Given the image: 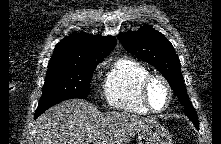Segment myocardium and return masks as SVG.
Listing matches in <instances>:
<instances>
[{
  "label": "myocardium",
  "mask_w": 221,
  "mask_h": 144,
  "mask_svg": "<svg viewBox=\"0 0 221 144\" xmlns=\"http://www.w3.org/2000/svg\"><path fill=\"white\" fill-rule=\"evenodd\" d=\"M154 80L161 81L167 90V95H168L167 102H166V105L161 109L154 108L150 102V99H149V87H150V84L152 83V81H154ZM139 89H140V97H141L142 103L145 105V107L149 111L154 112V113H161L169 108V106L172 102L173 91H172V87H171L170 83L163 75H161L159 73L147 74L142 79Z\"/></svg>",
  "instance_id": "1"
}]
</instances>
